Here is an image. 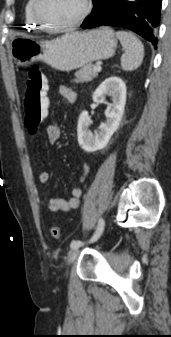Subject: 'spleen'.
I'll list each match as a JSON object with an SVG mask.
<instances>
[{
  "mask_svg": "<svg viewBox=\"0 0 171 337\" xmlns=\"http://www.w3.org/2000/svg\"><path fill=\"white\" fill-rule=\"evenodd\" d=\"M125 52L121 56V68L125 71L137 69L143 62L144 46L142 42L132 33L125 31L116 32Z\"/></svg>",
  "mask_w": 171,
  "mask_h": 337,
  "instance_id": "3e777b00",
  "label": "spleen"
}]
</instances>
